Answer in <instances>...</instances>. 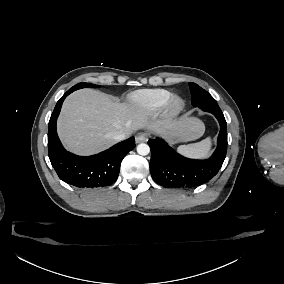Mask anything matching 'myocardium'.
<instances>
[{
	"mask_svg": "<svg viewBox=\"0 0 284 284\" xmlns=\"http://www.w3.org/2000/svg\"><path fill=\"white\" fill-rule=\"evenodd\" d=\"M186 101L181 95H172L166 102L162 116L166 119L178 117L185 109Z\"/></svg>",
	"mask_w": 284,
	"mask_h": 284,
	"instance_id": "f54148a6",
	"label": "myocardium"
}]
</instances>
